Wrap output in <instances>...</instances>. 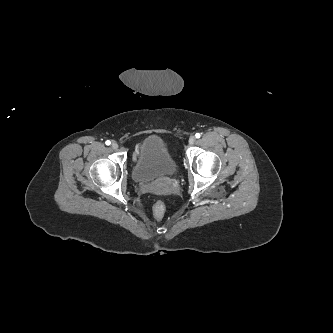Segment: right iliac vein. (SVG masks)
<instances>
[{
  "instance_id": "right-iliac-vein-1",
  "label": "right iliac vein",
  "mask_w": 333,
  "mask_h": 333,
  "mask_svg": "<svg viewBox=\"0 0 333 333\" xmlns=\"http://www.w3.org/2000/svg\"><path fill=\"white\" fill-rule=\"evenodd\" d=\"M111 147L112 149L116 150L118 148V144L115 141H113Z\"/></svg>"
}]
</instances>
